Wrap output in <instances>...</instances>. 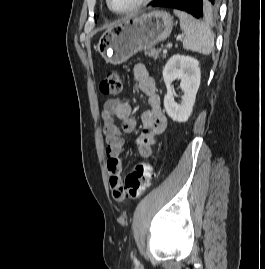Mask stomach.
<instances>
[{"instance_id":"0dacf381","label":"stomach","mask_w":265,"mask_h":269,"mask_svg":"<svg viewBox=\"0 0 265 269\" xmlns=\"http://www.w3.org/2000/svg\"><path fill=\"white\" fill-rule=\"evenodd\" d=\"M172 28L173 17L168 12L151 11L107 29L97 48L106 62L119 65L139 51L151 49L167 39Z\"/></svg>"}]
</instances>
